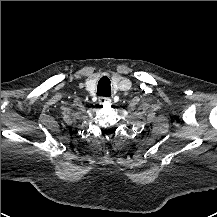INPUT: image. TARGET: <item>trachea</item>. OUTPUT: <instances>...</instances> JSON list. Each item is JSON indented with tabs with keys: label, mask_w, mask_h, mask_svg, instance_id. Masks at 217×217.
Listing matches in <instances>:
<instances>
[{
	"label": "trachea",
	"mask_w": 217,
	"mask_h": 217,
	"mask_svg": "<svg viewBox=\"0 0 217 217\" xmlns=\"http://www.w3.org/2000/svg\"><path fill=\"white\" fill-rule=\"evenodd\" d=\"M97 95L98 96H104V97H110L111 96V85H110V79L107 76H103L97 86Z\"/></svg>",
	"instance_id": "trachea-1"
}]
</instances>
